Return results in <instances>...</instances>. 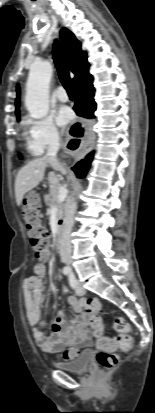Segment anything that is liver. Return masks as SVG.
Segmentation results:
<instances>
[{"label":"liver","instance_id":"6515ba94","mask_svg":"<svg viewBox=\"0 0 155 413\" xmlns=\"http://www.w3.org/2000/svg\"><path fill=\"white\" fill-rule=\"evenodd\" d=\"M49 165L50 163L46 157L36 158L28 162L18 171L15 179V197L18 206L22 204L24 195L38 186L39 183L43 180L45 169ZM53 168L60 171V169H58L57 167ZM66 173L67 171L65 170L63 174Z\"/></svg>","mask_w":155,"mask_h":413}]
</instances>
